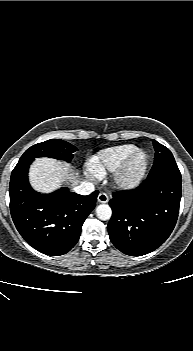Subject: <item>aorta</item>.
<instances>
[{
    "instance_id": "aorta-1",
    "label": "aorta",
    "mask_w": 193,
    "mask_h": 351,
    "mask_svg": "<svg viewBox=\"0 0 193 351\" xmlns=\"http://www.w3.org/2000/svg\"><path fill=\"white\" fill-rule=\"evenodd\" d=\"M96 216L103 221L109 220L112 216L111 207L108 204H100L96 208Z\"/></svg>"
}]
</instances>
